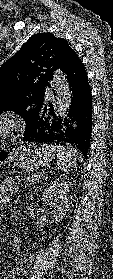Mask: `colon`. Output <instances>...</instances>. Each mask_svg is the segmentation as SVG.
Instances as JSON below:
<instances>
[{
	"label": "colon",
	"mask_w": 113,
	"mask_h": 279,
	"mask_svg": "<svg viewBox=\"0 0 113 279\" xmlns=\"http://www.w3.org/2000/svg\"><path fill=\"white\" fill-rule=\"evenodd\" d=\"M3 159V153L0 152V160Z\"/></svg>",
	"instance_id": "obj_1"
}]
</instances>
